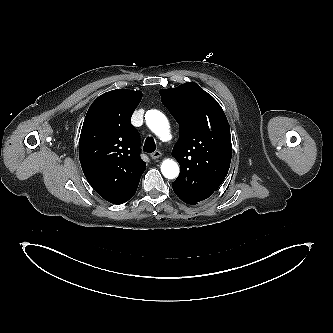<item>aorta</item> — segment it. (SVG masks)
<instances>
[{"instance_id": "1", "label": "aorta", "mask_w": 333, "mask_h": 333, "mask_svg": "<svg viewBox=\"0 0 333 333\" xmlns=\"http://www.w3.org/2000/svg\"><path fill=\"white\" fill-rule=\"evenodd\" d=\"M146 123L149 129L161 139L164 140L169 135L170 126L168 119L160 111H148L146 114ZM161 172L165 178L174 179L179 174V166L175 161L166 159L161 164Z\"/></svg>"}]
</instances>
